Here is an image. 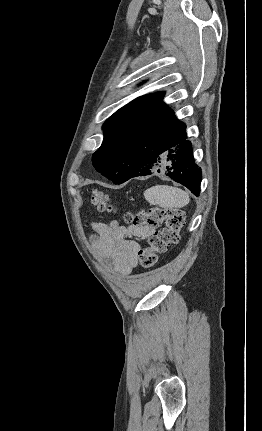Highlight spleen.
<instances>
[{"label": "spleen", "instance_id": "1", "mask_svg": "<svg viewBox=\"0 0 262 431\" xmlns=\"http://www.w3.org/2000/svg\"><path fill=\"white\" fill-rule=\"evenodd\" d=\"M144 197L151 205H158L163 208H182L190 201L187 192L168 185H156L148 188L144 192Z\"/></svg>", "mask_w": 262, "mask_h": 431}]
</instances>
